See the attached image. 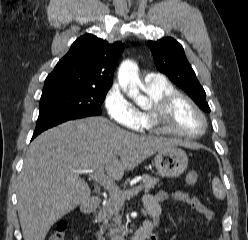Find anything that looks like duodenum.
<instances>
[{"label": "duodenum", "instance_id": "410a0bca", "mask_svg": "<svg viewBox=\"0 0 248 240\" xmlns=\"http://www.w3.org/2000/svg\"><path fill=\"white\" fill-rule=\"evenodd\" d=\"M100 204L98 198H90L81 204V211L85 214L94 213ZM152 231L150 222L146 221L129 240H149Z\"/></svg>", "mask_w": 248, "mask_h": 240}]
</instances>
